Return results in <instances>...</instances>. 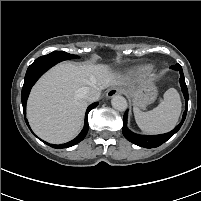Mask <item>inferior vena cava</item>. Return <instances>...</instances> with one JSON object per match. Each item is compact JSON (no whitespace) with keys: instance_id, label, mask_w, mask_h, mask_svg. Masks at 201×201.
<instances>
[{"instance_id":"1","label":"inferior vena cava","mask_w":201,"mask_h":201,"mask_svg":"<svg viewBox=\"0 0 201 201\" xmlns=\"http://www.w3.org/2000/svg\"><path fill=\"white\" fill-rule=\"evenodd\" d=\"M101 90L98 87H86L83 91L84 99L88 102L97 101L100 98Z\"/></svg>"}]
</instances>
